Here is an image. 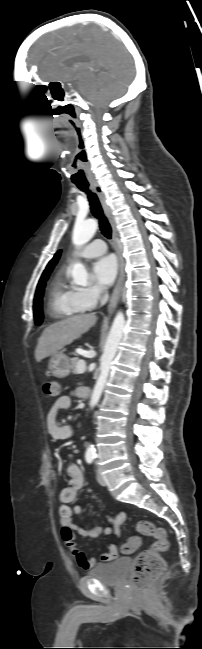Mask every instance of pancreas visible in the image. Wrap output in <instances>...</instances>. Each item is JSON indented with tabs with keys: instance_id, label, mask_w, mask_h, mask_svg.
<instances>
[{
	"instance_id": "obj_1",
	"label": "pancreas",
	"mask_w": 202,
	"mask_h": 649,
	"mask_svg": "<svg viewBox=\"0 0 202 649\" xmlns=\"http://www.w3.org/2000/svg\"><path fill=\"white\" fill-rule=\"evenodd\" d=\"M78 362H79L78 358H73V359L71 360V372H72L73 374H80L79 371H78V369H77V364H78Z\"/></svg>"
}]
</instances>
